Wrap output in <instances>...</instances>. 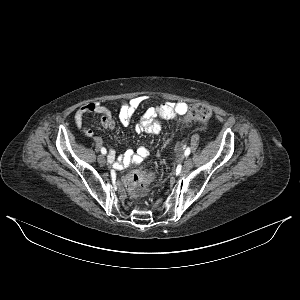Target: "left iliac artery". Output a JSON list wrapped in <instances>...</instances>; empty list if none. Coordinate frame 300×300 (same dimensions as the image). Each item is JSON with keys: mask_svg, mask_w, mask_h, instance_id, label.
I'll return each instance as SVG.
<instances>
[{"mask_svg": "<svg viewBox=\"0 0 300 300\" xmlns=\"http://www.w3.org/2000/svg\"><path fill=\"white\" fill-rule=\"evenodd\" d=\"M189 154H190V148L188 147V148H186L184 155L189 156Z\"/></svg>", "mask_w": 300, "mask_h": 300, "instance_id": "1", "label": "left iliac artery"}]
</instances>
